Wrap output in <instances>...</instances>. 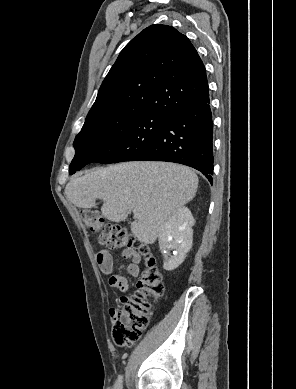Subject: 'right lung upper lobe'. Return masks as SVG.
Instances as JSON below:
<instances>
[{
    "instance_id": "obj_1",
    "label": "right lung upper lobe",
    "mask_w": 296,
    "mask_h": 389,
    "mask_svg": "<svg viewBox=\"0 0 296 389\" xmlns=\"http://www.w3.org/2000/svg\"><path fill=\"white\" fill-rule=\"evenodd\" d=\"M209 99L206 70L189 39L152 25L121 51L87 118L119 109L171 116Z\"/></svg>"
}]
</instances>
